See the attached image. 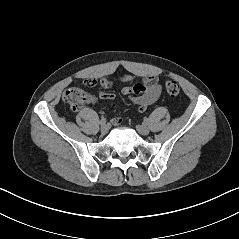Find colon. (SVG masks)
<instances>
[{
  "mask_svg": "<svg viewBox=\"0 0 239 239\" xmlns=\"http://www.w3.org/2000/svg\"><path fill=\"white\" fill-rule=\"evenodd\" d=\"M95 84L93 81L90 84L85 85L88 88L93 87ZM165 89L167 93L171 96H177L180 93V86L174 80H168L165 83ZM63 100L70 106L73 110H78L89 101V95L79 87H72L67 89L63 94Z\"/></svg>",
  "mask_w": 239,
  "mask_h": 239,
  "instance_id": "5ec220e1",
  "label": "colon"
}]
</instances>
